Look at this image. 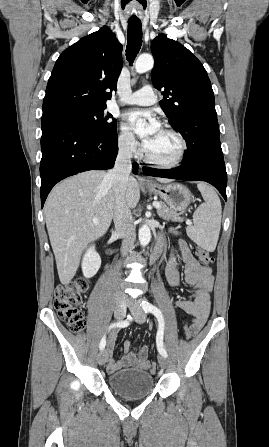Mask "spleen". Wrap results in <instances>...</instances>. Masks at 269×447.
Here are the masks:
<instances>
[{"label": "spleen", "instance_id": "obj_1", "mask_svg": "<svg viewBox=\"0 0 269 447\" xmlns=\"http://www.w3.org/2000/svg\"><path fill=\"white\" fill-rule=\"evenodd\" d=\"M197 188L205 202L195 210L193 214L194 225H187V235L199 247H203L207 251H214L221 227L222 208L220 198L214 188L207 186L206 182H198Z\"/></svg>", "mask_w": 269, "mask_h": 447}]
</instances>
